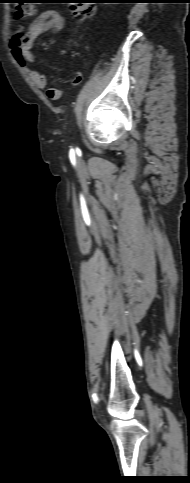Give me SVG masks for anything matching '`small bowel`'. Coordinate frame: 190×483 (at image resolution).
Returning <instances> with one entry per match:
<instances>
[{
	"instance_id": "small-bowel-1",
	"label": "small bowel",
	"mask_w": 190,
	"mask_h": 483,
	"mask_svg": "<svg viewBox=\"0 0 190 483\" xmlns=\"http://www.w3.org/2000/svg\"><path fill=\"white\" fill-rule=\"evenodd\" d=\"M64 26V19L57 11L46 10L41 12L25 31L16 29L9 41V50L15 62L26 70L31 81L38 88H46L47 96L53 100L61 96V89L57 86L48 87V77L28 65L36 61L32 48L37 39L47 31L60 32ZM80 78L77 75L75 82L80 81Z\"/></svg>"
}]
</instances>
